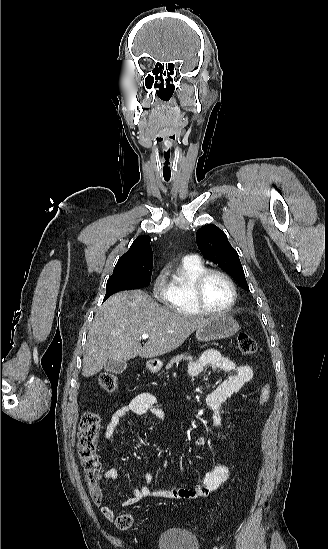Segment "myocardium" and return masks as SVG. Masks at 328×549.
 <instances>
[{"instance_id":"obj_1","label":"myocardium","mask_w":328,"mask_h":549,"mask_svg":"<svg viewBox=\"0 0 328 549\" xmlns=\"http://www.w3.org/2000/svg\"><path fill=\"white\" fill-rule=\"evenodd\" d=\"M212 274H219L223 276L231 286L232 297L229 304L220 310L207 309L201 305H205V299L203 296V287L207 278ZM191 295L194 304L191 308L199 315L211 316V317H223L228 315L235 307L238 299V288L234 278L220 266H207L202 270L193 280Z\"/></svg>"}]
</instances>
